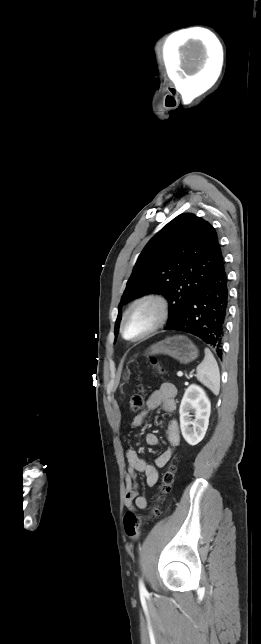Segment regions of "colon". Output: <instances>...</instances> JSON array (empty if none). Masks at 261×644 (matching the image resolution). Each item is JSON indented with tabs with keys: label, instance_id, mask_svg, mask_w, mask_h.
I'll use <instances>...</instances> for the list:
<instances>
[{
	"label": "colon",
	"instance_id": "obj_1",
	"mask_svg": "<svg viewBox=\"0 0 261 644\" xmlns=\"http://www.w3.org/2000/svg\"><path fill=\"white\" fill-rule=\"evenodd\" d=\"M150 363L158 368L159 371H163L155 357L150 358ZM145 396L146 391L143 387H139L138 391L130 399V409L133 412H138L144 408L145 405ZM175 466L170 465L168 469L163 473L162 480L159 485L158 494L155 499V503L150 508L148 514L141 516L132 511L126 512L124 515L123 523L124 530L128 537L132 539H138L140 536V527L143 521L159 516L160 514V503L163 501L164 495L170 491L171 485L174 480Z\"/></svg>",
	"mask_w": 261,
	"mask_h": 644
}]
</instances>
